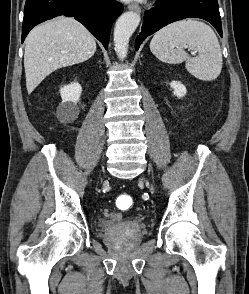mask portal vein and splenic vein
<instances>
[{"instance_id":"1","label":"portal vein and splenic vein","mask_w":249,"mask_h":294,"mask_svg":"<svg viewBox=\"0 0 249 294\" xmlns=\"http://www.w3.org/2000/svg\"><path fill=\"white\" fill-rule=\"evenodd\" d=\"M192 55H195V52H191Z\"/></svg>"}]
</instances>
